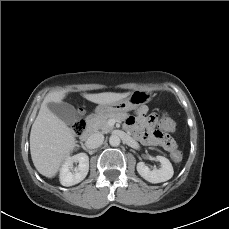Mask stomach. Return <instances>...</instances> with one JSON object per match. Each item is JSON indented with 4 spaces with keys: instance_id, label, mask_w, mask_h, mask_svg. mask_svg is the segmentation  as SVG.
<instances>
[{
    "instance_id": "stomach-1",
    "label": "stomach",
    "mask_w": 229,
    "mask_h": 229,
    "mask_svg": "<svg viewBox=\"0 0 229 229\" xmlns=\"http://www.w3.org/2000/svg\"><path fill=\"white\" fill-rule=\"evenodd\" d=\"M150 100V92L137 90L133 91L127 99H123L114 103L98 105L95 109V113L99 116L125 113L138 108L140 105L148 103Z\"/></svg>"
}]
</instances>
